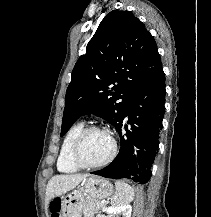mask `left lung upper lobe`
I'll use <instances>...</instances> for the list:
<instances>
[{
  "mask_svg": "<svg viewBox=\"0 0 211 217\" xmlns=\"http://www.w3.org/2000/svg\"><path fill=\"white\" fill-rule=\"evenodd\" d=\"M161 67L157 45L144 24L130 11L108 13L73 68L61 136L84 114L116 127L133 94Z\"/></svg>",
  "mask_w": 211,
  "mask_h": 217,
  "instance_id": "obj_1",
  "label": "left lung upper lobe"
}]
</instances>
